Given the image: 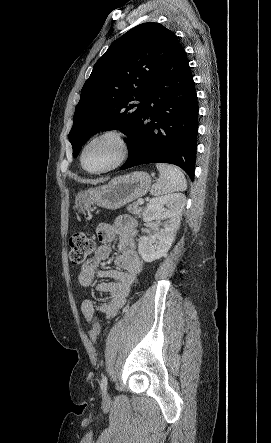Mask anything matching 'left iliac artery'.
Masks as SVG:
<instances>
[{"instance_id":"obj_1","label":"left iliac artery","mask_w":271,"mask_h":443,"mask_svg":"<svg viewBox=\"0 0 271 443\" xmlns=\"http://www.w3.org/2000/svg\"><path fill=\"white\" fill-rule=\"evenodd\" d=\"M100 388H101L103 393H106V390H107V377L106 376L102 377V380H101V383H100Z\"/></svg>"}]
</instances>
